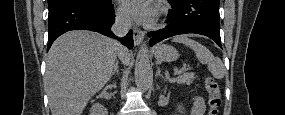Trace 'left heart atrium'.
I'll return each instance as SVG.
<instances>
[{
  "label": "left heart atrium",
  "instance_id": "1",
  "mask_svg": "<svg viewBox=\"0 0 285 115\" xmlns=\"http://www.w3.org/2000/svg\"><path fill=\"white\" fill-rule=\"evenodd\" d=\"M149 0H122V8L134 19L143 23H150L154 19L155 11Z\"/></svg>",
  "mask_w": 285,
  "mask_h": 115
}]
</instances>
